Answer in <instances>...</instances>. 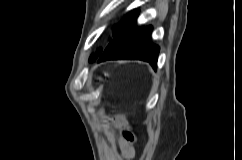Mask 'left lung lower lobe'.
<instances>
[{
	"mask_svg": "<svg viewBox=\"0 0 242 160\" xmlns=\"http://www.w3.org/2000/svg\"><path fill=\"white\" fill-rule=\"evenodd\" d=\"M136 20L110 41L102 52L99 62L113 59H139L157 67L159 47L150 40L152 26L142 29L135 27Z\"/></svg>",
	"mask_w": 242,
	"mask_h": 160,
	"instance_id": "0a47b994",
	"label": "left lung lower lobe"
}]
</instances>
